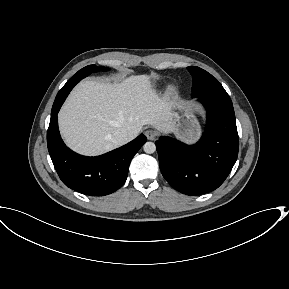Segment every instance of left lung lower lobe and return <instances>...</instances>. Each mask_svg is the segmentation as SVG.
<instances>
[{"mask_svg": "<svg viewBox=\"0 0 289 289\" xmlns=\"http://www.w3.org/2000/svg\"><path fill=\"white\" fill-rule=\"evenodd\" d=\"M194 98L207 110L206 129L199 142L188 146L161 136L155 143L164 178L173 188L190 196L218 188L231 172L239 148L231 99Z\"/></svg>", "mask_w": 289, "mask_h": 289, "instance_id": "1", "label": "left lung lower lobe"}]
</instances>
